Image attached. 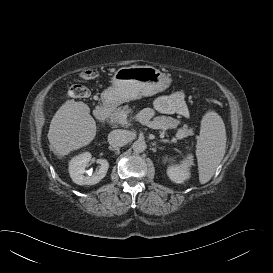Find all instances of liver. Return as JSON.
I'll return each instance as SVG.
<instances>
[{"instance_id": "6515ba94", "label": "liver", "mask_w": 273, "mask_h": 273, "mask_svg": "<svg viewBox=\"0 0 273 273\" xmlns=\"http://www.w3.org/2000/svg\"><path fill=\"white\" fill-rule=\"evenodd\" d=\"M96 133V122L88 105L67 100L53 116L47 137L53 153L64 156L88 145Z\"/></svg>"}]
</instances>
